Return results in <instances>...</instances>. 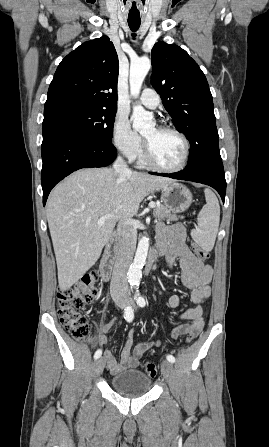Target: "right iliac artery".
<instances>
[{
	"mask_svg": "<svg viewBox=\"0 0 269 447\" xmlns=\"http://www.w3.org/2000/svg\"><path fill=\"white\" fill-rule=\"evenodd\" d=\"M124 318L127 322H131L134 318V313H133V309L131 306H127L124 309ZM102 355V351L101 350H97L94 354V358L98 359L99 357H101Z\"/></svg>",
	"mask_w": 269,
	"mask_h": 447,
	"instance_id": "right-iliac-artery-1",
	"label": "right iliac artery"
}]
</instances>
